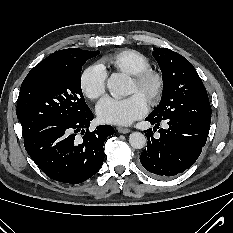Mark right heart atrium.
Returning <instances> with one entry per match:
<instances>
[{
  "label": "right heart atrium",
  "instance_id": "obj_1",
  "mask_svg": "<svg viewBox=\"0 0 233 233\" xmlns=\"http://www.w3.org/2000/svg\"><path fill=\"white\" fill-rule=\"evenodd\" d=\"M107 73L100 65L87 67L80 76V87L89 99H97L105 93Z\"/></svg>",
  "mask_w": 233,
  "mask_h": 233
}]
</instances>
